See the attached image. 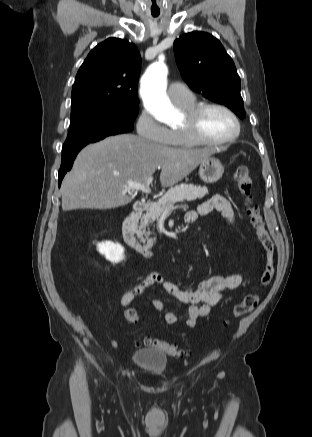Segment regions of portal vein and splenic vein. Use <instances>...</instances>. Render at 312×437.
I'll use <instances>...</instances> for the list:
<instances>
[{"label":"portal vein and splenic vein","mask_w":312,"mask_h":437,"mask_svg":"<svg viewBox=\"0 0 312 437\" xmlns=\"http://www.w3.org/2000/svg\"><path fill=\"white\" fill-rule=\"evenodd\" d=\"M153 181V176H149L146 180H144L143 182H136V181H128L125 189L126 190H141L144 193H150L151 189H150V184ZM174 209L173 206H169L166 208L167 211H172Z\"/></svg>","instance_id":"portal-vein-and-splenic-vein-1"}]
</instances>
